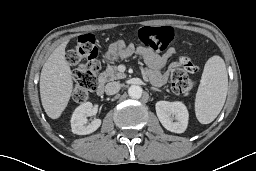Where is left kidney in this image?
Here are the masks:
<instances>
[{"label": "left kidney", "instance_id": "left-kidney-1", "mask_svg": "<svg viewBox=\"0 0 256 171\" xmlns=\"http://www.w3.org/2000/svg\"><path fill=\"white\" fill-rule=\"evenodd\" d=\"M156 113L167 130L174 133H183L186 130L189 114L182 102L159 101L156 103Z\"/></svg>", "mask_w": 256, "mask_h": 171}]
</instances>
